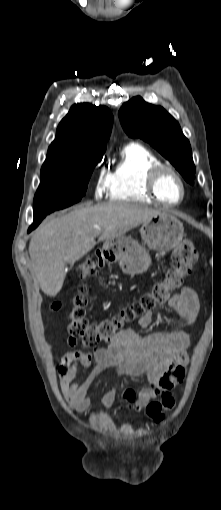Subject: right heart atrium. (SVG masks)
I'll use <instances>...</instances> for the list:
<instances>
[{
    "label": "right heart atrium",
    "instance_id": "obj_1",
    "mask_svg": "<svg viewBox=\"0 0 221 510\" xmlns=\"http://www.w3.org/2000/svg\"><path fill=\"white\" fill-rule=\"evenodd\" d=\"M109 183V176L105 171H101L97 181H96V187H95V195L96 197H101L106 192L108 188Z\"/></svg>",
    "mask_w": 221,
    "mask_h": 510
}]
</instances>
